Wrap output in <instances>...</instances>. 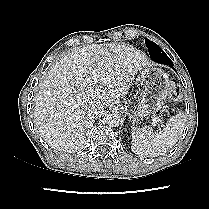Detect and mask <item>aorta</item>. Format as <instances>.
<instances>
[{
    "mask_svg": "<svg viewBox=\"0 0 209 209\" xmlns=\"http://www.w3.org/2000/svg\"><path fill=\"white\" fill-rule=\"evenodd\" d=\"M106 122L112 126H118L122 123V115L119 112H110L106 114Z\"/></svg>",
    "mask_w": 209,
    "mask_h": 209,
    "instance_id": "762f6f07",
    "label": "aorta"
}]
</instances>
